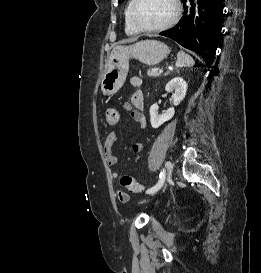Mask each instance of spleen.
I'll use <instances>...</instances> for the list:
<instances>
[{
  "instance_id": "obj_1",
  "label": "spleen",
  "mask_w": 261,
  "mask_h": 273,
  "mask_svg": "<svg viewBox=\"0 0 261 273\" xmlns=\"http://www.w3.org/2000/svg\"><path fill=\"white\" fill-rule=\"evenodd\" d=\"M195 64L194 59L185 53L184 51H179L177 54V61H176V67L182 68V67H191Z\"/></svg>"
}]
</instances>
